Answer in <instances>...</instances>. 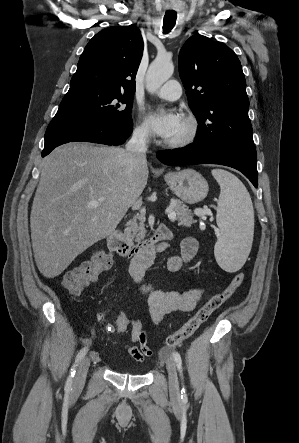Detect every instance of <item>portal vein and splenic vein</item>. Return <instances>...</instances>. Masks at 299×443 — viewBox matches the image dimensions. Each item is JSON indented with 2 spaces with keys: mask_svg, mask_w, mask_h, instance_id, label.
I'll list each match as a JSON object with an SVG mask.
<instances>
[{
  "mask_svg": "<svg viewBox=\"0 0 299 443\" xmlns=\"http://www.w3.org/2000/svg\"><path fill=\"white\" fill-rule=\"evenodd\" d=\"M102 200L101 199H99V200H94V201H91V202H89V204H88V207H96V206H98V204L101 202ZM166 213L168 214V218L170 219V220H175V218H176V213L172 210V208H168L167 210H166Z\"/></svg>",
  "mask_w": 299,
  "mask_h": 443,
  "instance_id": "portal-vein-and-splenic-vein-1",
  "label": "portal vein and splenic vein"
}]
</instances>
